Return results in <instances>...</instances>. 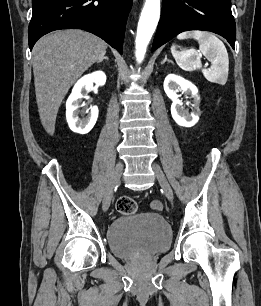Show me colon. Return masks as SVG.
Segmentation results:
<instances>
[{
    "mask_svg": "<svg viewBox=\"0 0 261 306\" xmlns=\"http://www.w3.org/2000/svg\"><path fill=\"white\" fill-rule=\"evenodd\" d=\"M116 208L123 215H132L137 211V203L129 196H122L117 200Z\"/></svg>",
    "mask_w": 261,
    "mask_h": 306,
    "instance_id": "1",
    "label": "colon"
}]
</instances>
